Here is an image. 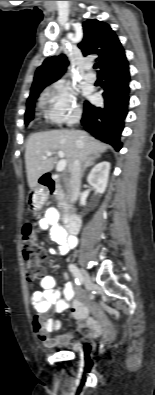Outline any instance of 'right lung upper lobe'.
Returning <instances> with one entry per match:
<instances>
[{"label": "right lung upper lobe", "mask_w": 155, "mask_h": 395, "mask_svg": "<svg viewBox=\"0 0 155 395\" xmlns=\"http://www.w3.org/2000/svg\"><path fill=\"white\" fill-rule=\"evenodd\" d=\"M83 30L84 37L78 47L84 56L99 55L97 60L101 71L127 61L122 44L107 23L88 19L83 23ZM67 66L68 61L64 54L47 58L36 70L30 97L58 80Z\"/></svg>", "instance_id": "obj_1"}]
</instances>
